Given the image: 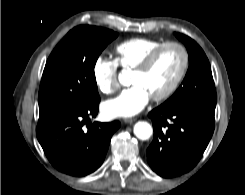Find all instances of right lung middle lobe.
<instances>
[{"label": "right lung middle lobe", "instance_id": "obj_1", "mask_svg": "<svg viewBox=\"0 0 245 195\" xmlns=\"http://www.w3.org/2000/svg\"><path fill=\"white\" fill-rule=\"evenodd\" d=\"M117 33L95 26L73 28L49 56L39 89L40 115L86 107L100 100L93 68Z\"/></svg>", "mask_w": 245, "mask_h": 195}]
</instances>
